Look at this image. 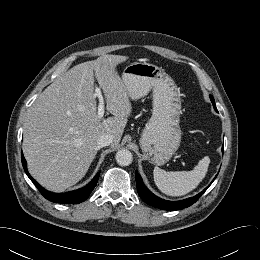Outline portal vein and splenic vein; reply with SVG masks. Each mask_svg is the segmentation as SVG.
I'll use <instances>...</instances> for the list:
<instances>
[{"instance_id":"portal-vein-and-splenic-vein-1","label":"portal vein and splenic vein","mask_w":260,"mask_h":260,"mask_svg":"<svg viewBox=\"0 0 260 260\" xmlns=\"http://www.w3.org/2000/svg\"><path fill=\"white\" fill-rule=\"evenodd\" d=\"M94 96L99 98L98 114L97 115H98L99 119H102V117L104 115V100H103L101 90L99 88L95 89Z\"/></svg>"}]
</instances>
